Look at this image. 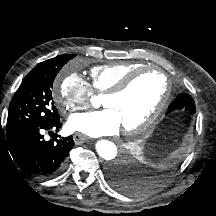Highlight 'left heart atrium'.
Here are the masks:
<instances>
[{"label": "left heart atrium", "instance_id": "left-heart-atrium-1", "mask_svg": "<svg viewBox=\"0 0 216 216\" xmlns=\"http://www.w3.org/2000/svg\"><path fill=\"white\" fill-rule=\"evenodd\" d=\"M67 129L78 131L91 137L116 134L121 122L115 111L106 107L100 111L76 113L69 117Z\"/></svg>", "mask_w": 216, "mask_h": 216}]
</instances>
